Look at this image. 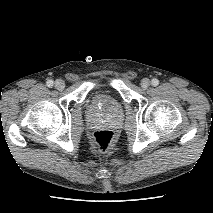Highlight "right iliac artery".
<instances>
[{"label": "right iliac artery", "mask_w": 213, "mask_h": 213, "mask_svg": "<svg viewBox=\"0 0 213 213\" xmlns=\"http://www.w3.org/2000/svg\"><path fill=\"white\" fill-rule=\"evenodd\" d=\"M46 84L48 87H52L54 83H53V80H48Z\"/></svg>", "instance_id": "right-iliac-artery-1"}]
</instances>
